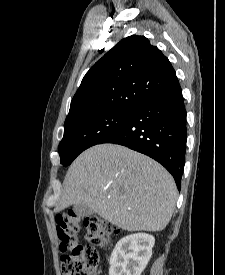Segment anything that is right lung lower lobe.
<instances>
[{
    "instance_id": "obj_1",
    "label": "right lung lower lobe",
    "mask_w": 225,
    "mask_h": 275,
    "mask_svg": "<svg viewBox=\"0 0 225 275\" xmlns=\"http://www.w3.org/2000/svg\"><path fill=\"white\" fill-rule=\"evenodd\" d=\"M186 138V110L179 86L137 105L99 144H120L148 155L172 174L180 190Z\"/></svg>"
}]
</instances>
